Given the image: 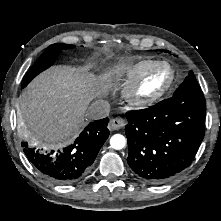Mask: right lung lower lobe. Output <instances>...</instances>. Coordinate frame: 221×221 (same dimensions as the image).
Instances as JSON below:
<instances>
[{
  "label": "right lung lower lobe",
  "instance_id": "98d812e1",
  "mask_svg": "<svg viewBox=\"0 0 221 221\" xmlns=\"http://www.w3.org/2000/svg\"><path fill=\"white\" fill-rule=\"evenodd\" d=\"M108 118L90 123L75 142L57 151L34 148L22 142L28 160L43 176L59 183L76 182L86 176L109 136Z\"/></svg>",
  "mask_w": 221,
  "mask_h": 221
}]
</instances>
